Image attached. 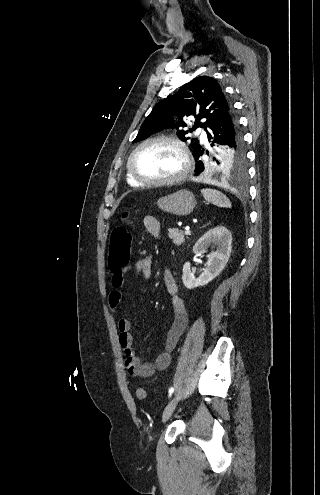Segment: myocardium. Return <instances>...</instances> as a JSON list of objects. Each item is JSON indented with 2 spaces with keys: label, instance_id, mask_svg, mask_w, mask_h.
<instances>
[{
  "label": "myocardium",
  "instance_id": "myocardium-1",
  "mask_svg": "<svg viewBox=\"0 0 320 495\" xmlns=\"http://www.w3.org/2000/svg\"><path fill=\"white\" fill-rule=\"evenodd\" d=\"M155 142L170 143L179 151L182 158V168L176 175L170 178H163V179H146L141 177L136 172L134 167V159L136 154L146 145ZM190 168H191V160L186 145L181 140L168 135L155 136L142 141L132 150L127 160L128 173L138 184L142 186H168V185L177 184L186 178V176L190 171Z\"/></svg>",
  "mask_w": 320,
  "mask_h": 495
}]
</instances>
